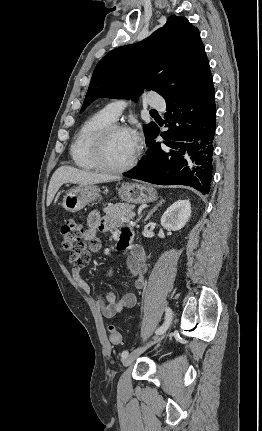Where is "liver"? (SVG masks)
<instances>
[{
  "label": "liver",
  "instance_id": "obj_1",
  "mask_svg": "<svg viewBox=\"0 0 262 431\" xmlns=\"http://www.w3.org/2000/svg\"><path fill=\"white\" fill-rule=\"evenodd\" d=\"M119 179L120 177L117 176L92 173L71 166H61L54 172L51 177L48 186L46 205L49 206L51 204L55 194L64 183L88 185L110 182Z\"/></svg>",
  "mask_w": 262,
  "mask_h": 431
}]
</instances>
